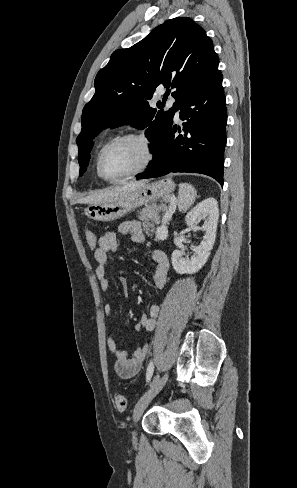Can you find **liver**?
<instances>
[{"instance_id":"1","label":"liver","mask_w":297,"mask_h":488,"mask_svg":"<svg viewBox=\"0 0 297 488\" xmlns=\"http://www.w3.org/2000/svg\"><path fill=\"white\" fill-rule=\"evenodd\" d=\"M147 180L141 181H129L123 186L114 188L112 190H106L104 192L95 193L82 199V202L89 204H100L105 202H111L117 199L121 194L129 191L136 190L147 184Z\"/></svg>"}]
</instances>
